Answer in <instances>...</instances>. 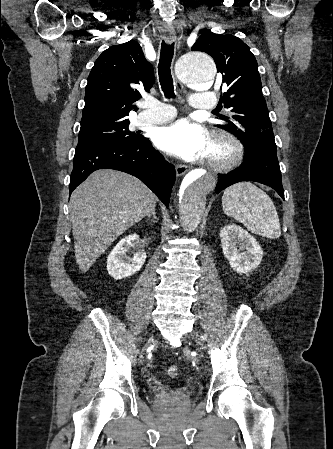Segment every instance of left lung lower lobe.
Segmentation results:
<instances>
[{
    "label": "left lung lower lobe",
    "mask_w": 333,
    "mask_h": 449,
    "mask_svg": "<svg viewBox=\"0 0 333 449\" xmlns=\"http://www.w3.org/2000/svg\"><path fill=\"white\" fill-rule=\"evenodd\" d=\"M240 181H256L272 187L284 199L281 171L278 162L261 159L247 160L228 174H219L216 193Z\"/></svg>",
    "instance_id": "1"
}]
</instances>
